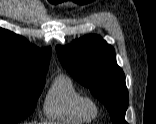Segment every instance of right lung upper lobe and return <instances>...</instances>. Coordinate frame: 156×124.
Instances as JSON below:
<instances>
[{
  "label": "right lung upper lobe",
  "instance_id": "obj_1",
  "mask_svg": "<svg viewBox=\"0 0 156 124\" xmlns=\"http://www.w3.org/2000/svg\"><path fill=\"white\" fill-rule=\"evenodd\" d=\"M51 48L39 49L24 37L0 28V71L28 76L46 75Z\"/></svg>",
  "mask_w": 156,
  "mask_h": 124
}]
</instances>
